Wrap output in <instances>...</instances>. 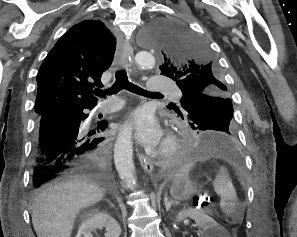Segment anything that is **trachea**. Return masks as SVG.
Masks as SVG:
<instances>
[{
    "label": "trachea",
    "mask_w": 297,
    "mask_h": 237,
    "mask_svg": "<svg viewBox=\"0 0 297 237\" xmlns=\"http://www.w3.org/2000/svg\"><path fill=\"white\" fill-rule=\"evenodd\" d=\"M115 77H116L115 83L112 85L111 88H108L106 90L96 89L93 93L96 96L105 97L106 94H109V95L116 94L120 90L126 89V90L133 92L135 94L144 95V96L159 94L156 92L146 91V90L140 88L139 86L131 83L128 80L127 73L125 70L117 71Z\"/></svg>",
    "instance_id": "3493384b"
}]
</instances>
